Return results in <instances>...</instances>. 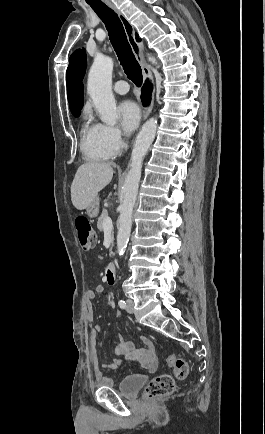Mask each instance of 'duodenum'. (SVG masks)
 <instances>
[{
  "label": "duodenum",
  "mask_w": 265,
  "mask_h": 434,
  "mask_svg": "<svg viewBox=\"0 0 265 434\" xmlns=\"http://www.w3.org/2000/svg\"><path fill=\"white\" fill-rule=\"evenodd\" d=\"M105 280L108 284H114L116 282V266L114 264L107 265Z\"/></svg>",
  "instance_id": "obj_1"
}]
</instances>
